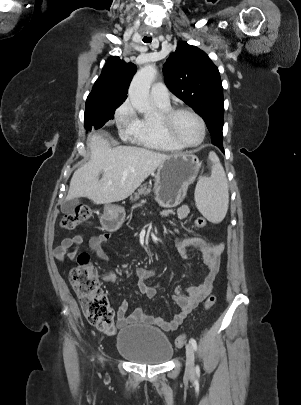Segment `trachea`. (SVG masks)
Wrapping results in <instances>:
<instances>
[{
	"instance_id": "1",
	"label": "trachea",
	"mask_w": 301,
	"mask_h": 405,
	"mask_svg": "<svg viewBox=\"0 0 301 405\" xmlns=\"http://www.w3.org/2000/svg\"><path fill=\"white\" fill-rule=\"evenodd\" d=\"M152 41V37H144L143 42L150 43Z\"/></svg>"
}]
</instances>
